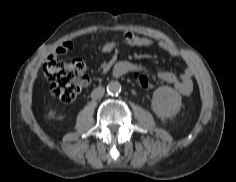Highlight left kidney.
I'll return each mask as SVG.
<instances>
[{
  "label": "left kidney",
  "instance_id": "obj_1",
  "mask_svg": "<svg viewBox=\"0 0 236 182\" xmlns=\"http://www.w3.org/2000/svg\"><path fill=\"white\" fill-rule=\"evenodd\" d=\"M181 95L171 87L162 86L153 93L152 110L161 119L172 118L181 108Z\"/></svg>",
  "mask_w": 236,
  "mask_h": 182
}]
</instances>
